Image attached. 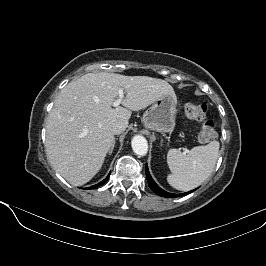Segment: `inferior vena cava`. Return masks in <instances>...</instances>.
<instances>
[{"label": "inferior vena cava", "instance_id": "obj_1", "mask_svg": "<svg viewBox=\"0 0 266 266\" xmlns=\"http://www.w3.org/2000/svg\"><path fill=\"white\" fill-rule=\"evenodd\" d=\"M109 129L112 134L118 135L125 131L126 124L122 120H115L110 123Z\"/></svg>", "mask_w": 266, "mask_h": 266}]
</instances>
